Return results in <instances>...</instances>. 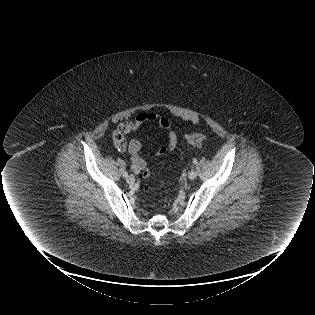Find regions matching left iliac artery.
<instances>
[{"label":"left iliac artery","instance_id":"left-iliac-artery-1","mask_svg":"<svg viewBox=\"0 0 315 315\" xmlns=\"http://www.w3.org/2000/svg\"><path fill=\"white\" fill-rule=\"evenodd\" d=\"M193 163H194V164H197V159H194V160H193Z\"/></svg>","mask_w":315,"mask_h":315}]
</instances>
